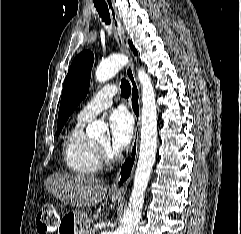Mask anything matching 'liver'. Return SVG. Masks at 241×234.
<instances>
[{"label": "liver", "instance_id": "1", "mask_svg": "<svg viewBox=\"0 0 241 234\" xmlns=\"http://www.w3.org/2000/svg\"><path fill=\"white\" fill-rule=\"evenodd\" d=\"M44 185L60 201L76 207L97 205L109 189L102 180L83 174H53Z\"/></svg>", "mask_w": 241, "mask_h": 234}]
</instances>
